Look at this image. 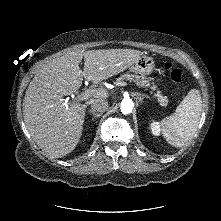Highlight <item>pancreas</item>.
<instances>
[{
    "label": "pancreas",
    "instance_id": "cf45deb5",
    "mask_svg": "<svg viewBox=\"0 0 221 221\" xmlns=\"http://www.w3.org/2000/svg\"><path fill=\"white\" fill-rule=\"evenodd\" d=\"M124 80H128V81H133L135 82L139 87L142 88H150L152 91L151 93H153V91H156L157 89V85H155L154 83L151 84L150 81L144 77V76H139V75H133V74H124L122 76H120L119 78H117V82H122ZM154 97L158 100V102L160 103L161 106H167L168 104V99L166 96L162 95L160 90H157L156 93L154 94Z\"/></svg>",
    "mask_w": 221,
    "mask_h": 221
}]
</instances>
